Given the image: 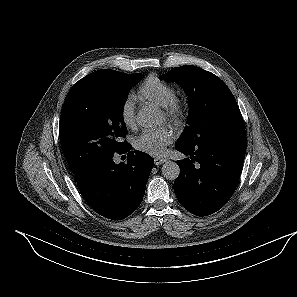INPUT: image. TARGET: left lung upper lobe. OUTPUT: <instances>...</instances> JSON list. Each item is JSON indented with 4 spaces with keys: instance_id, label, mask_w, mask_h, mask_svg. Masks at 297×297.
<instances>
[{
    "instance_id": "1",
    "label": "left lung upper lobe",
    "mask_w": 297,
    "mask_h": 297,
    "mask_svg": "<svg viewBox=\"0 0 297 297\" xmlns=\"http://www.w3.org/2000/svg\"><path fill=\"white\" fill-rule=\"evenodd\" d=\"M160 79L175 81L188 96V125L176 144L195 147L213 135L243 126L233 94L213 73L188 65L173 68Z\"/></svg>"
}]
</instances>
